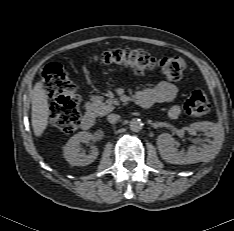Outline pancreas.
Returning a JSON list of instances; mask_svg holds the SVG:
<instances>
[{
  "label": "pancreas",
  "mask_w": 234,
  "mask_h": 231,
  "mask_svg": "<svg viewBox=\"0 0 234 231\" xmlns=\"http://www.w3.org/2000/svg\"><path fill=\"white\" fill-rule=\"evenodd\" d=\"M90 108L97 116H104L119 105L116 99H108L104 102L103 96L93 95L90 98Z\"/></svg>",
  "instance_id": "pancreas-1"
}]
</instances>
